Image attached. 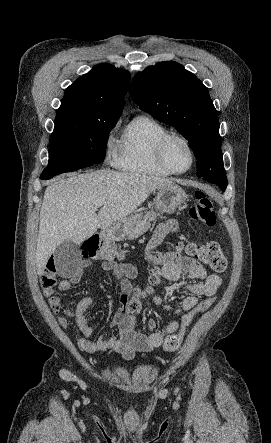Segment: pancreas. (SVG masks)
<instances>
[{"instance_id": "pancreas-1", "label": "pancreas", "mask_w": 271, "mask_h": 443, "mask_svg": "<svg viewBox=\"0 0 271 443\" xmlns=\"http://www.w3.org/2000/svg\"><path fill=\"white\" fill-rule=\"evenodd\" d=\"M159 214H156V212H144V216L140 214V218H132L131 222H125V227L128 229L127 235L128 239H133V237H138V235H141L143 231H146L148 227H150L151 220H155Z\"/></svg>"}]
</instances>
